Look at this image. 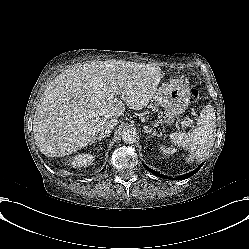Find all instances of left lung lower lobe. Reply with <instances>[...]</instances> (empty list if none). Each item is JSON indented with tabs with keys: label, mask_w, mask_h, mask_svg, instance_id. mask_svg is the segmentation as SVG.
<instances>
[{
	"label": "left lung lower lobe",
	"mask_w": 249,
	"mask_h": 249,
	"mask_svg": "<svg viewBox=\"0 0 249 249\" xmlns=\"http://www.w3.org/2000/svg\"><path fill=\"white\" fill-rule=\"evenodd\" d=\"M202 165H203V163H202L197 169H195L194 171H192V172H190V173H188V174H186V175L181 176V179H186V178L192 176L193 174H195V173L201 168ZM146 169H147L148 171H150L152 174H154L155 176H158V177H160V178L165 177V175H162V174H160V173L157 172V171H154V170H152V169H149L148 167H146Z\"/></svg>",
	"instance_id": "1"
}]
</instances>
